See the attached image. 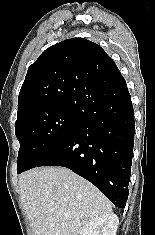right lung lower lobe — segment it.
<instances>
[{"instance_id": "obj_1", "label": "right lung lower lobe", "mask_w": 155, "mask_h": 235, "mask_svg": "<svg viewBox=\"0 0 155 235\" xmlns=\"http://www.w3.org/2000/svg\"><path fill=\"white\" fill-rule=\"evenodd\" d=\"M83 124L37 166L67 167L93 183L115 206L128 198L134 109L126 81L95 87L78 108Z\"/></svg>"}]
</instances>
